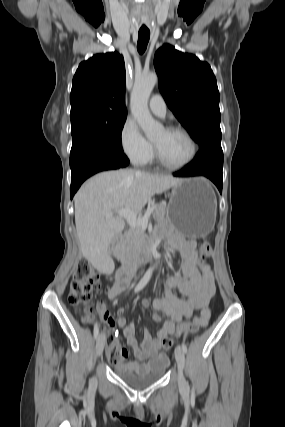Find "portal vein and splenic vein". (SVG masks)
Here are the masks:
<instances>
[{
    "label": "portal vein and splenic vein",
    "instance_id": "portal-vein-and-splenic-vein-1",
    "mask_svg": "<svg viewBox=\"0 0 285 427\" xmlns=\"http://www.w3.org/2000/svg\"><path fill=\"white\" fill-rule=\"evenodd\" d=\"M153 210H154L153 207L149 208L145 212L144 216H142V217H138L137 213H135V212H133L127 208L120 209L116 213L120 217L125 218L131 227H141L142 229H146L148 226V219H149L150 215L152 214ZM111 216H113L112 212L107 214V217H111Z\"/></svg>",
    "mask_w": 285,
    "mask_h": 427
}]
</instances>
